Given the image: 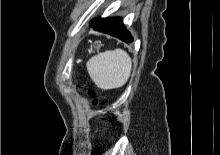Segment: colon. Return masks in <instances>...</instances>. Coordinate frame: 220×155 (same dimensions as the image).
Masks as SVG:
<instances>
[{"mask_svg":"<svg viewBox=\"0 0 220 155\" xmlns=\"http://www.w3.org/2000/svg\"><path fill=\"white\" fill-rule=\"evenodd\" d=\"M88 94L92 97V101H93L94 104L99 103V98L97 97V93H96L95 90L89 89Z\"/></svg>","mask_w":220,"mask_h":155,"instance_id":"colon-1","label":"colon"}]
</instances>
